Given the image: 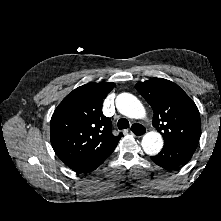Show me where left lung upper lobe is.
I'll return each instance as SVG.
<instances>
[{
	"label": "left lung upper lobe",
	"mask_w": 221,
	"mask_h": 221,
	"mask_svg": "<svg viewBox=\"0 0 221 221\" xmlns=\"http://www.w3.org/2000/svg\"><path fill=\"white\" fill-rule=\"evenodd\" d=\"M153 109V126L162 134L164 144L179 145L199 141L201 122L197 106L172 81L153 78L135 85Z\"/></svg>",
	"instance_id": "5c2ea615"
}]
</instances>
